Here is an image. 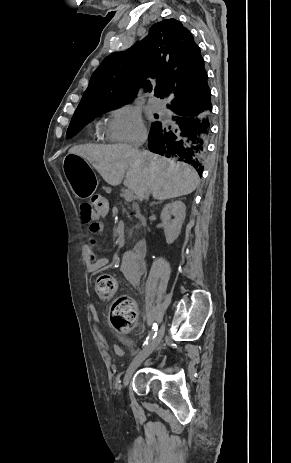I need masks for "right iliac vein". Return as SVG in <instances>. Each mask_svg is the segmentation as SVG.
<instances>
[{
  "instance_id": "1",
  "label": "right iliac vein",
  "mask_w": 291,
  "mask_h": 463,
  "mask_svg": "<svg viewBox=\"0 0 291 463\" xmlns=\"http://www.w3.org/2000/svg\"><path fill=\"white\" fill-rule=\"evenodd\" d=\"M164 336V327H161L157 335L149 342L132 360L124 376V385L127 386L136 369L159 346Z\"/></svg>"
}]
</instances>
